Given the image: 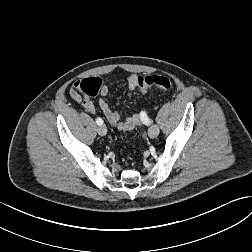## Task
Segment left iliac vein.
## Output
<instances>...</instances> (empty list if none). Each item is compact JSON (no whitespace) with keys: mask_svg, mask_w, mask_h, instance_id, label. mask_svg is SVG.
I'll return each mask as SVG.
<instances>
[{"mask_svg":"<svg viewBox=\"0 0 252 252\" xmlns=\"http://www.w3.org/2000/svg\"><path fill=\"white\" fill-rule=\"evenodd\" d=\"M159 134V128L156 125H152L148 130V135L150 138H155Z\"/></svg>","mask_w":252,"mask_h":252,"instance_id":"obj_1","label":"left iliac vein"}]
</instances>
